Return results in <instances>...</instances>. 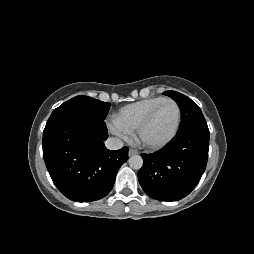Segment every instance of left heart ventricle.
Returning <instances> with one entry per match:
<instances>
[{"label":"left heart ventricle","instance_id":"obj_1","mask_svg":"<svg viewBox=\"0 0 254 254\" xmlns=\"http://www.w3.org/2000/svg\"><path fill=\"white\" fill-rule=\"evenodd\" d=\"M177 115V108L173 103H164L145 129L144 140L149 143H159L165 140L176 125Z\"/></svg>","mask_w":254,"mask_h":254}]
</instances>
